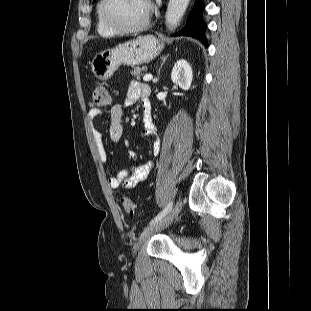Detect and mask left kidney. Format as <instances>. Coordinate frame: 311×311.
I'll use <instances>...</instances> for the list:
<instances>
[{
    "mask_svg": "<svg viewBox=\"0 0 311 311\" xmlns=\"http://www.w3.org/2000/svg\"><path fill=\"white\" fill-rule=\"evenodd\" d=\"M192 79L193 73L189 63L184 59L178 60L172 69V82L179 85L181 89L186 91L191 87Z\"/></svg>",
    "mask_w": 311,
    "mask_h": 311,
    "instance_id": "1",
    "label": "left kidney"
}]
</instances>
